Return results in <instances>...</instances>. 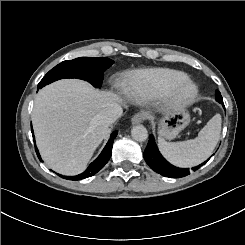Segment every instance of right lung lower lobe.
<instances>
[{
  "label": "right lung lower lobe",
  "mask_w": 245,
  "mask_h": 245,
  "mask_svg": "<svg viewBox=\"0 0 245 245\" xmlns=\"http://www.w3.org/2000/svg\"><path fill=\"white\" fill-rule=\"evenodd\" d=\"M32 133H33V129H32ZM117 133H118L117 131H114L111 134L110 139H109L108 143L106 144L105 148L103 149V151L101 152V154L98 156V158L95 161H93L89 165V167L83 173H81L77 176H68V177L67 176H61V177L64 179L76 181V180H81V179L91 177L94 174H96L98 171H100L105 166V164L108 162V160L111 157L113 141H114L115 137L117 136ZM33 140L35 142L34 135H33ZM35 150H36L38 158L40 159V161H42L36 146H35Z\"/></svg>",
  "instance_id": "98d812e1"
}]
</instances>
